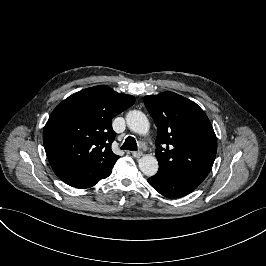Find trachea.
Instances as JSON below:
<instances>
[{"mask_svg":"<svg viewBox=\"0 0 266 266\" xmlns=\"http://www.w3.org/2000/svg\"><path fill=\"white\" fill-rule=\"evenodd\" d=\"M122 150L137 151V143L133 137H127L121 147Z\"/></svg>","mask_w":266,"mask_h":266,"instance_id":"obj_1","label":"trachea"}]
</instances>
